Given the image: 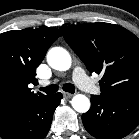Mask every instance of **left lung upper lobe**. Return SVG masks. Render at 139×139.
I'll return each mask as SVG.
<instances>
[{"mask_svg": "<svg viewBox=\"0 0 139 139\" xmlns=\"http://www.w3.org/2000/svg\"><path fill=\"white\" fill-rule=\"evenodd\" d=\"M64 39L89 72L102 75V99L139 92V39L109 23H88L60 28Z\"/></svg>", "mask_w": 139, "mask_h": 139, "instance_id": "obj_1", "label": "left lung upper lobe"}]
</instances>
